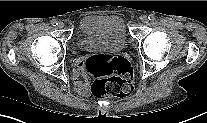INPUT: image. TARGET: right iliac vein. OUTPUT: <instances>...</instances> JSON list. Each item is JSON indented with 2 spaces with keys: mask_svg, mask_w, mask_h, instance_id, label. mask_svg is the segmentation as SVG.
Here are the masks:
<instances>
[{
  "mask_svg": "<svg viewBox=\"0 0 207 123\" xmlns=\"http://www.w3.org/2000/svg\"><path fill=\"white\" fill-rule=\"evenodd\" d=\"M64 27V23L63 22H59L58 23V28L62 29Z\"/></svg>",
  "mask_w": 207,
  "mask_h": 123,
  "instance_id": "right-iliac-vein-1",
  "label": "right iliac vein"
}]
</instances>
